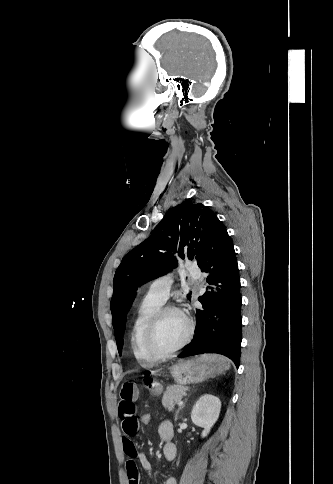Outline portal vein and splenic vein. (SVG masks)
Segmentation results:
<instances>
[{
	"label": "portal vein and splenic vein",
	"instance_id": "obj_1",
	"mask_svg": "<svg viewBox=\"0 0 333 484\" xmlns=\"http://www.w3.org/2000/svg\"><path fill=\"white\" fill-rule=\"evenodd\" d=\"M181 404H182V402H179V403H178V405H181Z\"/></svg>",
	"mask_w": 333,
	"mask_h": 484
}]
</instances>
